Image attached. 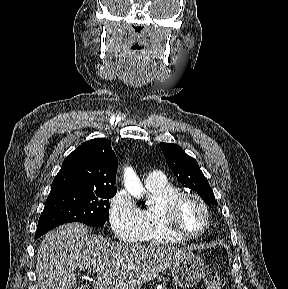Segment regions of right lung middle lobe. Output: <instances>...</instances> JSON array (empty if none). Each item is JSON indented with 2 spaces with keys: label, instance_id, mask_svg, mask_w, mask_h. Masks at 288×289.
Instances as JSON below:
<instances>
[{
  "label": "right lung middle lobe",
  "instance_id": "right-lung-middle-lobe-1",
  "mask_svg": "<svg viewBox=\"0 0 288 289\" xmlns=\"http://www.w3.org/2000/svg\"><path fill=\"white\" fill-rule=\"evenodd\" d=\"M116 192L117 189L51 191L39 218L36 235L41 236L60 224L73 221L94 227L103 226L109 216V199Z\"/></svg>",
  "mask_w": 288,
  "mask_h": 289
}]
</instances>
